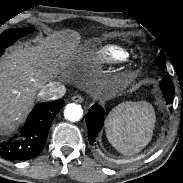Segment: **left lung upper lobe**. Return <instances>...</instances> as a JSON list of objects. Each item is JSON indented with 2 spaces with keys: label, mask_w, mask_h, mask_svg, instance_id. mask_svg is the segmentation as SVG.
<instances>
[{
  "label": "left lung upper lobe",
  "mask_w": 183,
  "mask_h": 183,
  "mask_svg": "<svg viewBox=\"0 0 183 183\" xmlns=\"http://www.w3.org/2000/svg\"><path fill=\"white\" fill-rule=\"evenodd\" d=\"M156 65L161 67L162 69H164L166 67L165 66V56H164V54L162 52L157 57Z\"/></svg>",
  "instance_id": "obj_1"
}]
</instances>
